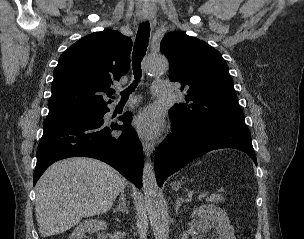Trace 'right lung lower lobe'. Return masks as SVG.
Here are the masks:
<instances>
[{
  "instance_id": "1",
  "label": "right lung lower lobe",
  "mask_w": 304,
  "mask_h": 239,
  "mask_svg": "<svg viewBox=\"0 0 304 239\" xmlns=\"http://www.w3.org/2000/svg\"><path fill=\"white\" fill-rule=\"evenodd\" d=\"M101 115L90 120L58 122L44 125V133L37 148V164L33 177L36 184L52 163L74 156H84L106 162L125 178L142 187L143 149L135 131L130 126L131 114L119 118L123 122L107 123ZM113 130H122L115 136Z\"/></svg>"
}]
</instances>
